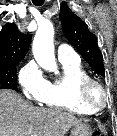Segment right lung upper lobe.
Wrapping results in <instances>:
<instances>
[{
	"instance_id": "right-lung-upper-lobe-1",
	"label": "right lung upper lobe",
	"mask_w": 117,
	"mask_h": 136,
	"mask_svg": "<svg viewBox=\"0 0 117 136\" xmlns=\"http://www.w3.org/2000/svg\"><path fill=\"white\" fill-rule=\"evenodd\" d=\"M31 35H24L14 23L3 26L0 32V64L19 63L26 55Z\"/></svg>"
}]
</instances>
